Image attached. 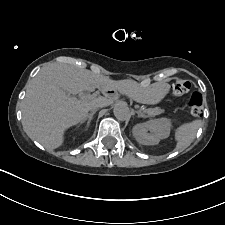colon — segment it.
Here are the masks:
<instances>
[{"mask_svg":"<svg viewBox=\"0 0 225 225\" xmlns=\"http://www.w3.org/2000/svg\"><path fill=\"white\" fill-rule=\"evenodd\" d=\"M190 89V83L185 80H178L172 85V92L174 96H181L187 93ZM188 110L192 115H199L203 108V98L198 92L191 94L187 101Z\"/></svg>","mask_w":225,"mask_h":225,"instance_id":"obj_1","label":"colon"}]
</instances>
